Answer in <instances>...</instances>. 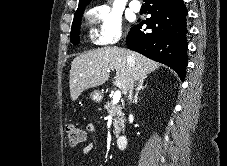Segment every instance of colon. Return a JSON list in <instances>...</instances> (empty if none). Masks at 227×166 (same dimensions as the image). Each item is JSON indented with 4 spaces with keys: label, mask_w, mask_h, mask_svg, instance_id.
Instances as JSON below:
<instances>
[{
    "label": "colon",
    "mask_w": 227,
    "mask_h": 166,
    "mask_svg": "<svg viewBox=\"0 0 227 166\" xmlns=\"http://www.w3.org/2000/svg\"><path fill=\"white\" fill-rule=\"evenodd\" d=\"M65 136L67 142L75 146L85 140V133L76 124H67L65 127Z\"/></svg>",
    "instance_id": "colon-1"
}]
</instances>
